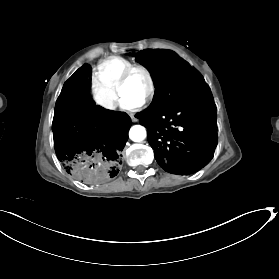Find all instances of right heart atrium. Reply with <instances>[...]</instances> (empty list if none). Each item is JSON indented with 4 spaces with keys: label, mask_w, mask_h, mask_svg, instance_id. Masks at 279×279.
Wrapping results in <instances>:
<instances>
[{
    "label": "right heart atrium",
    "mask_w": 279,
    "mask_h": 279,
    "mask_svg": "<svg viewBox=\"0 0 279 279\" xmlns=\"http://www.w3.org/2000/svg\"><path fill=\"white\" fill-rule=\"evenodd\" d=\"M92 95L94 103L103 113L113 114L116 112L119 104V97L116 93L101 84H93Z\"/></svg>",
    "instance_id": "1"
}]
</instances>
